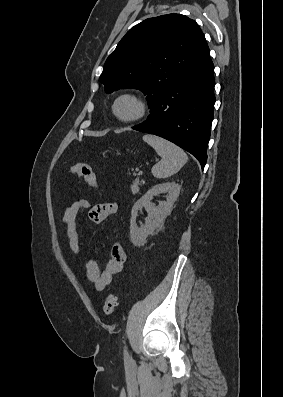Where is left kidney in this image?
Masks as SVG:
<instances>
[{
    "label": "left kidney",
    "instance_id": "obj_1",
    "mask_svg": "<svg viewBox=\"0 0 283 397\" xmlns=\"http://www.w3.org/2000/svg\"><path fill=\"white\" fill-rule=\"evenodd\" d=\"M181 186L175 182L158 184L149 189L132 207L130 219V239L133 245L138 246L146 241V238L152 234L171 213L174 202L179 197ZM162 193H168L166 201L155 206L151 203L154 196ZM145 208L148 212V218L145 224L140 227L136 224L138 211Z\"/></svg>",
    "mask_w": 283,
    "mask_h": 397
}]
</instances>
